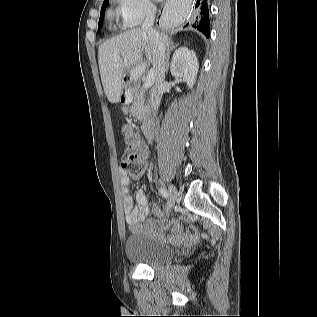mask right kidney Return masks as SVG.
Listing matches in <instances>:
<instances>
[{
	"label": "right kidney",
	"instance_id": "1",
	"mask_svg": "<svg viewBox=\"0 0 317 317\" xmlns=\"http://www.w3.org/2000/svg\"><path fill=\"white\" fill-rule=\"evenodd\" d=\"M199 64L196 53L187 47H180L175 51L171 61V74L181 77L187 83L188 88H193Z\"/></svg>",
	"mask_w": 317,
	"mask_h": 317
}]
</instances>
